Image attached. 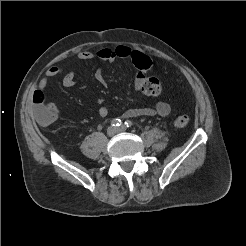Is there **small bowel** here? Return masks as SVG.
I'll return each instance as SVG.
<instances>
[{"instance_id":"c3829d8e","label":"small bowel","mask_w":246,"mask_h":246,"mask_svg":"<svg viewBox=\"0 0 246 246\" xmlns=\"http://www.w3.org/2000/svg\"><path fill=\"white\" fill-rule=\"evenodd\" d=\"M133 50L125 45L117 46L113 49L110 48H103L96 52H90V51H82L79 52L75 60L76 61H89V60H100L104 62H112L116 59H131V54ZM65 71V67L63 66H52L50 67L44 77L39 81L37 85V89L35 90L34 94H37L43 101L42 104V110L43 115L37 114V119L39 123L42 125H49L53 122H55L59 117V109L56 106L53 105H47L46 104V95H45V89L47 88L49 82L51 79L55 77L61 76ZM144 74L139 72L136 75L135 79V88L137 90H140L141 81ZM96 80L101 83L102 85H106V80L104 78V75L100 70H97L95 73ZM63 85L65 87H72L75 84V77L73 70H69L63 77ZM99 104L101 105L98 109V114L100 117L105 118L107 117L109 111L107 107L103 106V100L101 98L98 99ZM171 107L167 102L160 101L155 104L153 107H142V108H131L125 111L124 117H140V116H160V117H166L170 114Z\"/></svg>"}]
</instances>
